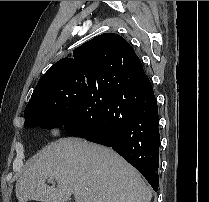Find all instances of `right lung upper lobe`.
<instances>
[{
    "instance_id": "cb5924a9",
    "label": "right lung upper lobe",
    "mask_w": 209,
    "mask_h": 202,
    "mask_svg": "<svg viewBox=\"0 0 209 202\" xmlns=\"http://www.w3.org/2000/svg\"><path fill=\"white\" fill-rule=\"evenodd\" d=\"M135 59H138L135 51L123 37L101 34L74 49L73 58L59 60L40 78L25 111L29 110L33 95L49 78L76 73L101 77L111 69L126 70L129 62ZM28 124L29 119L25 118V127Z\"/></svg>"
}]
</instances>
